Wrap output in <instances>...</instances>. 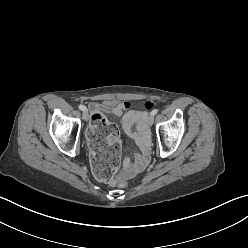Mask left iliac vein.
Here are the masks:
<instances>
[{
    "label": "left iliac vein",
    "instance_id": "obj_1",
    "mask_svg": "<svg viewBox=\"0 0 248 248\" xmlns=\"http://www.w3.org/2000/svg\"><path fill=\"white\" fill-rule=\"evenodd\" d=\"M154 122V116L153 115H149V117L147 118V124L149 126H151Z\"/></svg>",
    "mask_w": 248,
    "mask_h": 248
}]
</instances>
